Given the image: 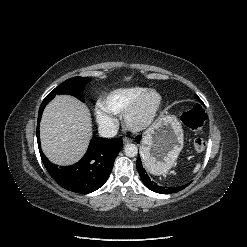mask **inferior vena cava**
Returning <instances> with one entry per match:
<instances>
[{
	"instance_id": "602c4592",
	"label": "inferior vena cava",
	"mask_w": 247,
	"mask_h": 247,
	"mask_svg": "<svg viewBox=\"0 0 247 247\" xmlns=\"http://www.w3.org/2000/svg\"><path fill=\"white\" fill-rule=\"evenodd\" d=\"M98 131L102 137L111 138L117 134L118 127L113 123H105L99 126Z\"/></svg>"
}]
</instances>
